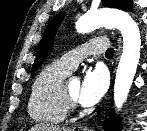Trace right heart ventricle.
<instances>
[{
  "label": "right heart ventricle",
  "mask_w": 147,
  "mask_h": 131,
  "mask_svg": "<svg viewBox=\"0 0 147 131\" xmlns=\"http://www.w3.org/2000/svg\"><path fill=\"white\" fill-rule=\"evenodd\" d=\"M69 73L55 61L44 66L36 75L27 105L28 114L34 121L57 124L65 120L68 110L62 96V84Z\"/></svg>",
  "instance_id": "right-heart-ventricle-1"
}]
</instances>
